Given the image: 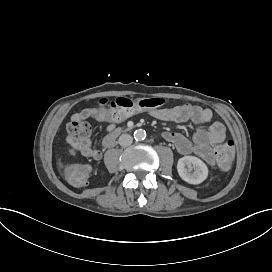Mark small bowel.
Wrapping results in <instances>:
<instances>
[{
	"label": "small bowel",
	"mask_w": 272,
	"mask_h": 272,
	"mask_svg": "<svg viewBox=\"0 0 272 272\" xmlns=\"http://www.w3.org/2000/svg\"><path fill=\"white\" fill-rule=\"evenodd\" d=\"M90 118L103 121L106 118V109L91 107ZM154 118L170 123L191 122L196 126L193 142L178 132H165L164 138L170 142L181 155L195 154L207 164L213 166L216 163L214 148L225 138V126L218 121L211 122L213 113L211 109L186 103L173 107H163L148 111ZM136 113V112H134ZM132 113V114H134ZM131 114V115H132ZM78 151L86 158L98 161L102 157L100 150L91 144L84 145Z\"/></svg>",
	"instance_id": "1"
}]
</instances>
